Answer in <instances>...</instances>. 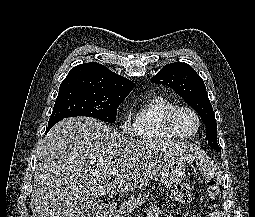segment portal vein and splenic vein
I'll list each match as a JSON object with an SVG mask.
<instances>
[{
    "label": "portal vein and splenic vein",
    "instance_id": "obj_1",
    "mask_svg": "<svg viewBox=\"0 0 255 217\" xmlns=\"http://www.w3.org/2000/svg\"><path fill=\"white\" fill-rule=\"evenodd\" d=\"M110 174L113 175V176H116L118 174V171L117 170H113V171H111Z\"/></svg>",
    "mask_w": 255,
    "mask_h": 217
}]
</instances>
